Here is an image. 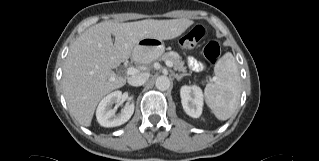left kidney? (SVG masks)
<instances>
[{
  "label": "left kidney",
  "mask_w": 319,
  "mask_h": 161,
  "mask_svg": "<svg viewBox=\"0 0 319 161\" xmlns=\"http://www.w3.org/2000/svg\"><path fill=\"white\" fill-rule=\"evenodd\" d=\"M181 103L186 114L198 118L202 114L203 93L198 86L184 85L180 89Z\"/></svg>",
  "instance_id": "left-kidney-1"
}]
</instances>
